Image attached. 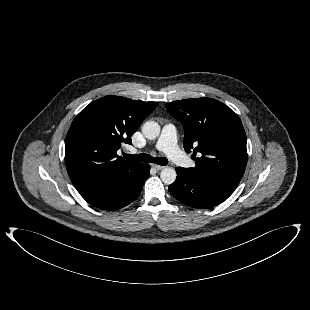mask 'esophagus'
Here are the masks:
<instances>
[{
    "instance_id": "1",
    "label": "esophagus",
    "mask_w": 310,
    "mask_h": 310,
    "mask_svg": "<svg viewBox=\"0 0 310 310\" xmlns=\"http://www.w3.org/2000/svg\"><path fill=\"white\" fill-rule=\"evenodd\" d=\"M152 167L158 171L164 169L165 167L164 166H161V165H157V164H152Z\"/></svg>"
}]
</instances>
